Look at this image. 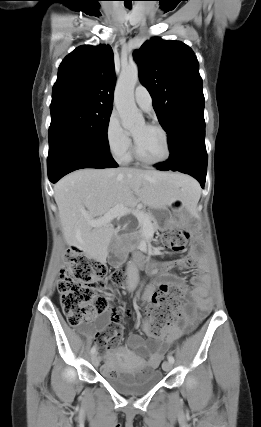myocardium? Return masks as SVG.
Instances as JSON below:
<instances>
[{
	"instance_id": "myocardium-1",
	"label": "myocardium",
	"mask_w": 261,
	"mask_h": 427,
	"mask_svg": "<svg viewBox=\"0 0 261 427\" xmlns=\"http://www.w3.org/2000/svg\"><path fill=\"white\" fill-rule=\"evenodd\" d=\"M146 125L150 128L157 129L162 133L164 140H165V144H166V154L163 158L156 160V161H150V160L143 158L138 152L137 144H136L135 138L133 137L132 155L137 162H139L143 165H146V166H155V165L162 164L170 158L171 153H172L169 134H168L167 130L162 125H160L158 123H147Z\"/></svg>"
}]
</instances>
